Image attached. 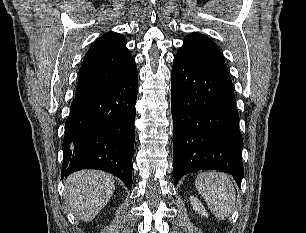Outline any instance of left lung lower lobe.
Listing matches in <instances>:
<instances>
[{
	"mask_svg": "<svg viewBox=\"0 0 306 233\" xmlns=\"http://www.w3.org/2000/svg\"><path fill=\"white\" fill-rule=\"evenodd\" d=\"M171 91L174 183L215 169L233 175L240 187L243 140L227 69L176 54Z\"/></svg>",
	"mask_w": 306,
	"mask_h": 233,
	"instance_id": "obj_1",
	"label": "left lung lower lobe"
}]
</instances>
